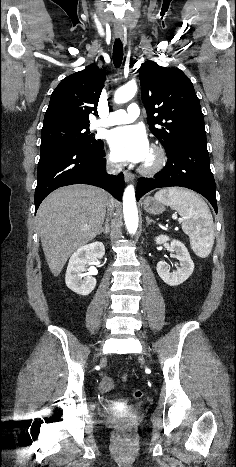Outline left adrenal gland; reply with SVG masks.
Listing matches in <instances>:
<instances>
[{"instance_id":"left-adrenal-gland-1","label":"left adrenal gland","mask_w":236,"mask_h":467,"mask_svg":"<svg viewBox=\"0 0 236 467\" xmlns=\"http://www.w3.org/2000/svg\"><path fill=\"white\" fill-rule=\"evenodd\" d=\"M151 223L155 224V221L150 219L149 216H146V227H148Z\"/></svg>"}]
</instances>
